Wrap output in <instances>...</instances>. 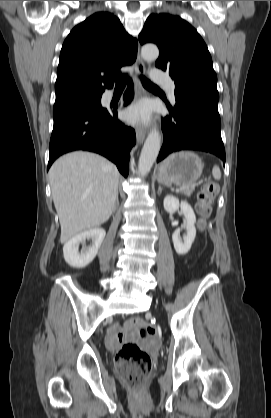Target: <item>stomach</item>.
I'll list each match as a JSON object with an SVG mask.
<instances>
[{
  "label": "stomach",
  "instance_id": "stomach-1",
  "mask_svg": "<svg viewBox=\"0 0 271 418\" xmlns=\"http://www.w3.org/2000/svg\"><path fill=\"white\" fill-rule=\"evenodd\" d=\"M202 160L193 152L181 151L168 156L158 167L157 179L165 185H190L203 171Z\"/></svg>",
  "mask_w": 271,
  "mask_h": 418
}]
</instances>
